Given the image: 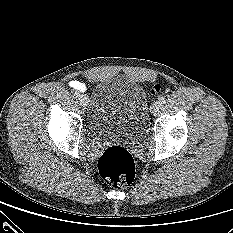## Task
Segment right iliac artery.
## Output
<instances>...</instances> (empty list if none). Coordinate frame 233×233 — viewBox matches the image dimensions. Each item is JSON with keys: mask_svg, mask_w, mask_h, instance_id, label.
Returning a JSON list of instances; mask_svg holds the SVG:
<instances>
[{"mask_svg": "<svg viewBox=\"0 0 233 233\" xmlns=\"http://www.w3.org/2000/svg\"><path fill=\"white\" fill-rule=\"evenodd\" d=\"M74 96H75L76 98H78V97H80V93L75 92V93H74Z\"/></svg>", "mask_w": 233, "mask_h": 233, "instance_id": "1", "label": "right iliac artery"}]
</instances>
